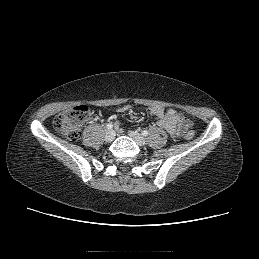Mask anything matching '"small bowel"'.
I'll return each instance as SVG.
<instances>
[{"label":"small bowel","mask_w":259,"mask_h":259,"mask_svg":"<svg viewBox=\"0 0 259 259\" xmlns=\"http://www.w3.org/2000/svg\"><path fill=\"white\" fill-rule=\"evenodd\" d=\"M118 112L131 111L130 106L118 108ZM151 117L156 120L157 126L166 130L173 138H178L192 127V121L174 109L165 110L159 106H152L148 109Z\"/></svg>","instance_id":"c3829d8e"}]
</instances>
